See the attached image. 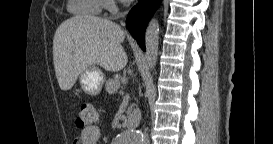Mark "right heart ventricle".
Listing matches in <instances>:
<instances>
[{
  "mask_svg": "<svg viewBox=\"0 0 273 144\" xmlns=\"http://www.w3.org/2000/svg\"><path fill=\"white\" fill-rule=\"evenodd\" d=\"M103 6V0H70L68 9L77 16H94L101 12Z\"/></svg>",
  "mask_w": 273,
  "mask_h": 144,
  "instance_id": "e07e8e85",
  "label": "right heart ventricle"
}]
</instances>
